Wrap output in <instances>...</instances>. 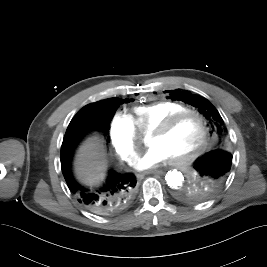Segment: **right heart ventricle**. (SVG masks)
Segmentation results:
<instances>
[{"label":"right heart ventricle","instance_id":"right-heart-ventricle-1","mask_svg":"<svg viewBox=\"0 0 267 267\" xmlns=\"http://www.w3.org/2000/svg\"><path fill=\"white\" fill-rule=\"evenodd\" d=\"M185 110H188V108L183 104L161 101L137 106L128 116L138 131L149 133L171 115Z\"/></svg>","mask_w":267,"mask_h":267}]
</instances>
